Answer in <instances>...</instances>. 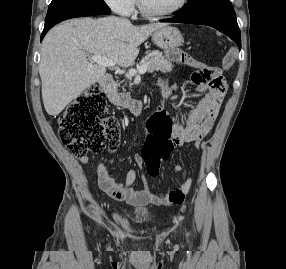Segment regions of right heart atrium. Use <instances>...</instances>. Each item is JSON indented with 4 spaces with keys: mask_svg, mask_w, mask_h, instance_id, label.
Here are the masks:
<instances>
[{
    "mask_svg": "<svg viewBox=\"0 0 286 269\" xmlns=\"http://www.w3.org/2000/svg\"><path fill=\"white\" fill-rule=\"evenodd\" d=\"M104 2L116 14L128 16L134 12L135 0H104Z\"/></svg>",
    "mask_w": 286,
    "mask_h": 269,
    "instance_id": "obj_1",
    "label": "right heart atrium"
}]
</instances>
